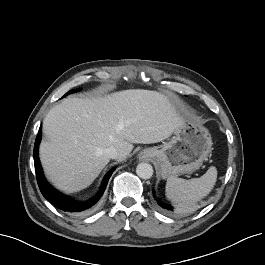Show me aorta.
<instances>
[{"mask_svg":"<svg viewBox=\"0 0 265 265\" xmlns=\"http://www.w3.org/2000/svg\"><path fill=\"white\" fill-rule=\"evenodd\" d=\"M136 173L141 179H150L153 175V167L149 163H140L137 165Z\"/></svg>","mask_w":265,"mask_h":265,"instance_id":"aorta-1","label":"aorta"}]
</instances>
